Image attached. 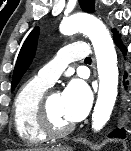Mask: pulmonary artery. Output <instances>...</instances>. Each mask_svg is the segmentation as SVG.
<instances>
[{
    "label": "pulmonary artery",
    "instance_id": "1",
    "mask_svg": "<svg viewBox=\"0 0 131 151\" xmlns=\"http://www.w3.org/2000/svg\"><path fill=\"white\" fill-rule=\"evenodd\" d=\"M88 55L89 49L86 43H69L58 51L53 60L39 70L37 78L48 85H52L69 63L85 60Z\"/></svg>",
    "mask_w": 131,
    "mask_h": 151
}]
</instances>
